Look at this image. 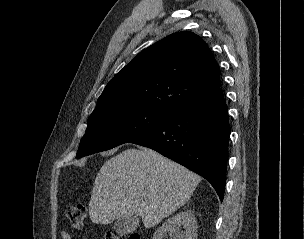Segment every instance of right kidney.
I'll list each match as a JSON object with an SVG mask.
<instances>
[{"label":"right kidney","mask_w":304,"mask_h":239,"mask_svg":"<svg viewBox=\"0 0 304 239\" xmlns=\"http://www.w3.org/2000/svg\"><path fill=\"white\" fill-rule=\"evenodd\" d=\"M183 226L184 231L179 228ZM197 221L191 210L179 212L166 220L152 239H163L169 233L171 239H197Z\"/></svg>","instance_id":"1"}]
</instances>
